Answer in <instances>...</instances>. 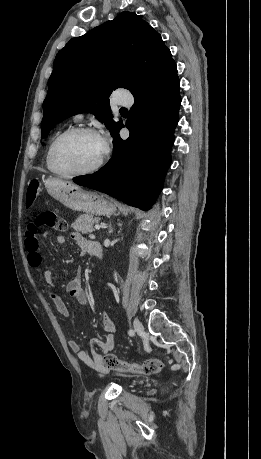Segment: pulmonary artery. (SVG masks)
Here are the masks:
<instances>
[{"label": "pulmonary artery", "instance_id": "1", "mask_svg": "<svg viewBox=\"0 0 261 459\" xmlns=\"http://www.w3.org/2000/svg\"><path fill=\"white\" fill-rule=\"evenodd\" d=\"M116 103L122 106H129L132 103V98L125 93H118L116 96ZM83 118L82 114L75 115L76 120H81Z\"/></svg>", "mask_w": 261, "mask_h": 459}]
</instances>
